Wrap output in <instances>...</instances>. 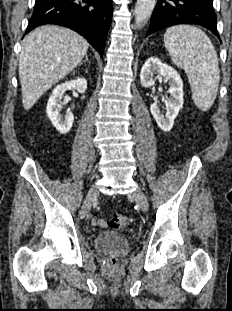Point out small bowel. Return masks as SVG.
Instances as JSON below:
<instances>
[{
  "instance_id": "obj_1",
  "label": "small bowel",
  "mask_w": 232,
  "mask_h": 311,
  "mask_svg": "<svg viewBox=\"0 0 232 311\" xmlns=\"http://www.w3.org/2000/svg\"><path fill=\"white\" fill-rule=\"evenodd\" d=\"M91 223L93 226H100V227L106 226V222L99 218H92Z\"/></svg>"
}]
</instances>
